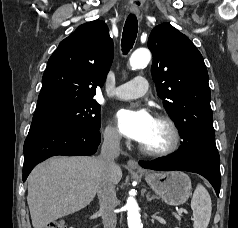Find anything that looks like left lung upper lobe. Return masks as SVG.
Here are the masks:
<instances>
[{
    "label": "left lung upper lobe",
    "instance_id": "5c2ea615",
    "mask_svg": "<svg viewBox=\"0 0 238 228\" xmlns=\"http://www.w3.org/2000/svg\"><path fill=\"white\" fill-rule=\"evenodd\" d=\"M148 48L158 96L183 139L178 156L184 159L215 144L208 72L201 53L169 23L154 27Z\"/></svg>",
    "mask_w": 238,
    "mask_h": 228
}]
</instances>
